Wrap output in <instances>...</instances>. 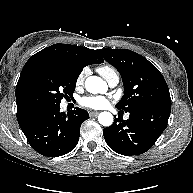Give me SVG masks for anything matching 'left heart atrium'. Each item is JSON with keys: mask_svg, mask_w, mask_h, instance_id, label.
<instances>
[{"mask_svg": "<svg viewBox=\"0 0 193 193\" xmlns=\"http://www.w3.org/2000/svg\"><path fill=\"white\" fill-rule=\"evenodd\" d=\"M80 104L90 109H102L107 106L108 99L104 96H86L80 100Z\"/></svg>", "mask_w": 193, "mask_h": 193, "instance_id": "39dd6f15", "label": "left heart atrium"}]
</instances>
